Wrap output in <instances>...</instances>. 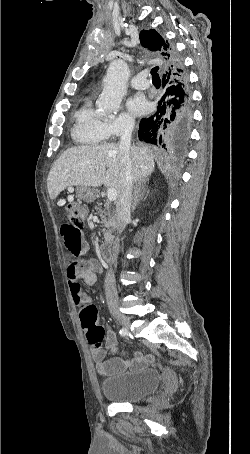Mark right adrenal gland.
Returning <instances> with one entry per match:
<instances>
[{"mask_svg":"<svg viewBox=\"0 0 250 454\" xmlns=\"http://www.w3.org/2000/svg\"><path fill=\"white\" fill-rule=\"evenodd\" d=\"M146 181L142 180L138 183H136L135 188H134V196H133V202H132V212H134L137 203L144 197V195L148 194L149 191H146L145 188Z\"/></svg>","mask_w":250,"mask_h":454,"instance_id":"1","label":"right adrenal gland"}]
</instances>
